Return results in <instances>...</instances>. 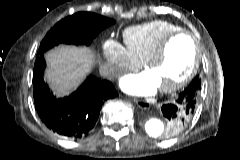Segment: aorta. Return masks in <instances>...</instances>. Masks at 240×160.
Segmentation results:
<instances>
[{
    "mask_svg": "<svg viewBox=\"0 0 240 160\" xmlns=\"http://www.w3.org/2000/svg\"><path fill=\"white\" fill-rule=\"evenodd\" d=\"M166 130V123L159 118H149L145 122L146 133L153 138H159Z\"/></svg>",
    "mask_w": 240,
    "mask_h": 160,
    "instance_id": "obj_1",
    "label": "aorta"
}]
</instances>
